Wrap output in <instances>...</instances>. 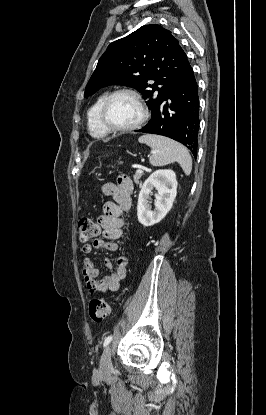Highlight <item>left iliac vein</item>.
Returning a JSON list of instances; mask_svg holds the SVG:
<instances>
[{"label": "left iliac vein", "mask_w": 266, "mask_h": 415, "mask_svg": "<svg viewBox=\"0 0 266 415\" xmlns=\"http://www.w3.org/2000/svg\"><path fill=\"white\" fill-rule=\"evenodd\" d=\"M111 350L110 347H106L102 353L100 359V372L103 376H106L110 373L111 370Z\"/></svg>", "instance_id": "left-iliac-vein-1"}]
</instances>
